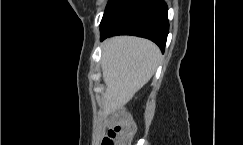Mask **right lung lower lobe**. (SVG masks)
I'll list each match as a JSON object with an SVG mask.
<instances>
[{
	"mask_svg": "<svg viewBox=\"0 0 243 145\" xmlns=\"http://www.w3.org/2000/svg\"><path fill=\"white\" fill-rule=\"evenodd\" d=\"M163 0H109L103 15L101 40L114 35H135L155 42L164 52L169 23Z\"/></svg>",
	"mask_w": 243,
	"mask_h": 145,
	"instance_id": "98d812e1",
	"label": "right lung lower lobe"
}]
</instances>
